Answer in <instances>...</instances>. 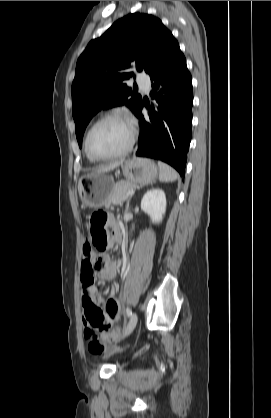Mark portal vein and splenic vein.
Returning a JSON list of instances; mask_svg holds the SVG:
<instances>
[{"label":"portal vein and splenic vein","instance_id":"1","mask_svg":"<svg viewBox=\"0 0 271 418\" xmlns=\"http://www.w3.org/2000/svg\"><path fill=\"white\" fill-rule=\"evenodd\" d=\"M135 193V190L133 189V190H130L128 193H127V195H132V194H134Z\"/></svg>","mask_w":271,"mask_h":418}]
</instances>
